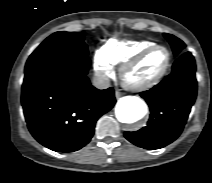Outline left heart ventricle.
Masks as SVG:
<instances>
[{
    "instance_id": "1",
    "label": "left heart ventricle",
    "mask_w": 212,
    "mask_h": 183,
    "mask_svg": "<svg viewBox=\"0 0 212 183\" xmlns=\"http://www.w3.org/2000/svg\"><path fill=\"white\" fill-rule=\"evenodd\" d=\"M167 57L165 49L158 48L153 50L128 72L127 81L132 84H141L152 79L164 68Z\"/></svg>"
}]
</instances>
